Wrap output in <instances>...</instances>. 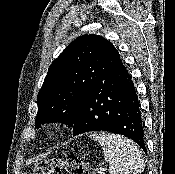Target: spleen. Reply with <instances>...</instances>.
Listing matches in <instances>:
<instances>
[{
	"instance_id": "spleen-1",
	"label": "spleen",
	"mask_w": 175,
	"mask_h": 174,
	"mask_svg": "<svg viewBox=\"0 0 175 174\" xmlns=\"http://www.w3.org/2000/svg\"><path fill=\"white\" fill-rule=\"evenodd\" d=\"M90 137L101 144L109 174H139L144 170L141 151L131 140L110 133H93Z\"/></svg>"
}]
</instances>
